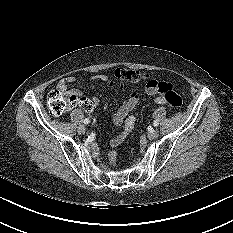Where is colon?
<instances>
[{
    "mask_svg": "<svg viewBox=\"0 0 233 233\" xmlns=\"http://www.w3.org/2000/svg\"><path fill=\"white\" fill-rule=\"evenodd\" d=\"M115 77L126 83L132 85H140L146 82V85L155 86L163 94L162 98L164 102L174 109H180L183 105L182 98L174 92L172 86L165 82H158L156 80L149 79V75L134 70L118 69L115 71ZM76 104V99L73 96H69L59 90L51 91L47 97V108L50 113L54 115H61ZM132 119L129 120V123ZM111 162H116V155H111Z\"/></svg>",
    "mask_w": 233,
    "mask_h": 233,
    "instance_id": "obj_1",
    "label": "colon"
}]
</instances>
